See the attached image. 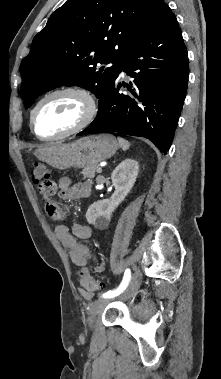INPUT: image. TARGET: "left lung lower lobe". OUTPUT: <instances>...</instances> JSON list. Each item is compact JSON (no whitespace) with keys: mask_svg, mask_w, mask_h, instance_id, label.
<instances>
[{"mask_svg":"<svg viewBox=\"0 0 221 379\" xmlns=\"http://www.w3.org/2000/svg\"><path fill=\"white\" fill-rule=\"evenodd\" d=\"M132 78L118 93V74ZM188 83V54L176 17L167 4L147 34L124 56L99 98L94 121L77 135L118 132L170 148Z\"/></svg>","mask_w":221,"mask_h":379,"instance_id":"left-lung-lower-lobe-1","label":"left lung lower lobe"}]
</instances>
